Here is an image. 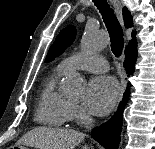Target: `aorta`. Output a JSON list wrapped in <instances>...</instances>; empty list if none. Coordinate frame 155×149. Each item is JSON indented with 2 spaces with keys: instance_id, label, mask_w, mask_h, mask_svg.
Instances as JSON below:
<instances>
[{
  "instance_id": "obj_1",
  "label": "aorta",
  "mask_w": 155,
  "mask_h": 149,
  "mask_svg": "<svg viewBox=\"0 0 155 149\" xmlns=\"http://www.w3.org/2000/svg\"><path fill=\"white\" fill-rule=\"evenodd\" d=\"M108 38L97 28L87 25L81 38L82 52L89 54L106 47ZM85 90V80L78 73L69 74L62 83V92L69 97L80 98Z\"/></svg>"
}]
</instances>
